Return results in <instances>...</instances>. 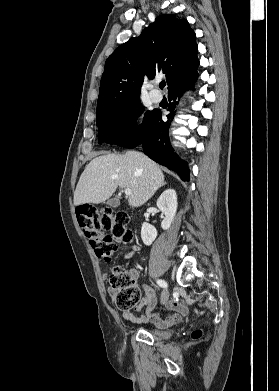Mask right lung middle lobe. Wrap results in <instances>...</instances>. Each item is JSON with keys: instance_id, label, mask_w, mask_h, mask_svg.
<instances>
[{"instance_id": "obj_1", "label": "right lung middle lobe", "mask_w": 279, "mask_h": 391, "mask_svg": "<svg viewBox=\"0 0 279 391\" xmlns=\"http://www.w3.org/2000/svg\"><path fill=\"white\" fill-rule=\"evenodd\" d=\"M143 111L144 108L141 105L140 100H137L126 105L113 107L97 113L96 121L99 128V143L106 142L114 144L119 138L137 127L135 118ZM151 113L152 111L146 112L144 119ZM128 121L133 123H128Z\"/></svg>"}]
</instances>
